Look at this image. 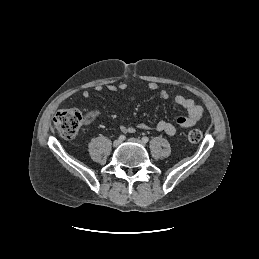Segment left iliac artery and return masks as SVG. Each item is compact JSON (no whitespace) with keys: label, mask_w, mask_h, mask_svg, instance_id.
<instances>
[{"label":"left iliac artery","mask_w":259,"mask_h":259,"mask_svg":"<svg viewBox=\"0 0 259 259\" xmlns=\"http://www.w3.org/2000/svg\"><path fill=\"white\" fill-rule=\"evenodd\" d=\"M142 141H143L144 143H147V142L149 141V138L146 137V136H144V137L142 138Z\"/></svg>","instance_id":"obj_1"}]
</instances>
